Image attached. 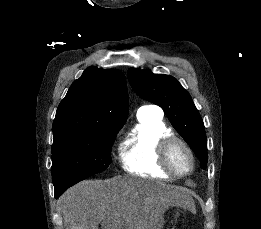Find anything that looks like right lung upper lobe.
Here are the masks:
<instances>
[{
	"mask_svg": "<svg viewBox=\"0 0 261 229\" xmlns=\"http://www.w3.org/2000/svg\"><path fill=\"white\" fill-rule=\"evenodd\" d=\"M127 116L124 74L117 69L88 67L72 83L58 106L53 122V145L99 126L124 125Z\"/></svg>",
	"mask_w": 261,
	"mask_h": 229,
	"instance_id": "right-lung-upper-lobe-1",
	"label": "right lung upper lobe"
}]
</instances>
